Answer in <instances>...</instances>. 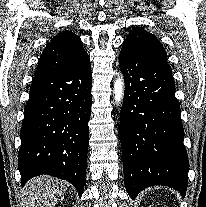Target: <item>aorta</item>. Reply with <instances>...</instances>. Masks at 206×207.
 Returning a JSON list of instances; mask_svg holds the SVG:
<instances>
[{
  "instance_id": "obj_1",
  "label": "aorta",
  "mask_w": 206,
  "mask_h": 207,
  "mask_svg": "<svg viewBox=\"0 0 206 207\" xmlns=\"http://www.w3.org/2000/svg\"><path fill=\"white\" fill-rule=\"evenodd\" d=\"M124 96V80L122 75H119L114 82V100L117 105H119Z\"/></svg>"
}]
</instances>
